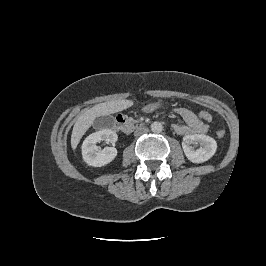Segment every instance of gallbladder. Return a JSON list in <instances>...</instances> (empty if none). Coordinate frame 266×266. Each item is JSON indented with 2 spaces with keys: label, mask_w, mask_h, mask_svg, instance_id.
<instances>
[{
  "label": "gallbladder",
  "mask_w": 266,
  "mask_h": 266,
  "mask_svg": "<svg viewBox=\"0 0 266 266\" xmlns=\"http://www.w3.org/2000/svg\"><path fill=\"white\" fill-rule=\"evenodd\" d=\"M113 124H114V118L111 115L99 116L93 122V125L96 128L112 127Z\"/></svg>",
  "instance_id": "gallbladder-1"
}]
</instances>
